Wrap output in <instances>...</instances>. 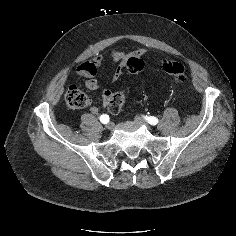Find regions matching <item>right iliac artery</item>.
I'll list each match as a JSON object with an SVG mask.
<instances>
[{
  "label": "right iliac artery",
  "instance_id": "82829eb1",
  "mask_svg": "<svg viewBox=\"0 0 236 236\" xmlns=\"http://www.w3.org/2000/svg\"><path fill=\"white\" fill-rule=\"evenodd\" d=\"M100 121L103 123V124H107L109 122V116L107 114H103L100 116Z\"/></svg>",
  "mask_w": 236,
  "mask_h": 236
}]
</instances>
